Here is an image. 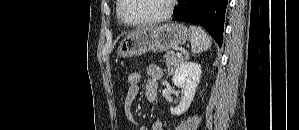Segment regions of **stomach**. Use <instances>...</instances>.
<instances>
[{
	"mask_svg": "<svg viewBox=\"0 0 299 130\" xmlns=\"http://www.w3.org/2000/svg\"><path fill=\"white\" fill-rule=\"evenodd\" d=\"M190 31L183 24L170 23L147 27L130 33L117 48V56L134 57L149 51H166L185 44Z\"/></svg>",
	"mask_w": 299,
	"mask_h": 130,
	"instance_id": "1",
	"label": "stomach"
}]
</instances>
